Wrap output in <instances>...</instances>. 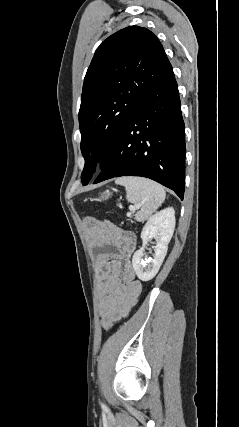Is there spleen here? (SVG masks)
Listing matches in <instances>:
<instances>
[{"instance_id":"1","label":"spleen","mask_w":239,"mask_h":427,"mask_svg":"<svg viewBox=\"0 0 239 427\" xmlns=\"http://www.w3.org/2000/svg\"><path fill=\"white\" fill-rule=\"evenodd\" d=\"M115 183L125 187L128 202L140 207L135 215L139 222L149 219L165 200L164 188L152 180L128 176L116 179Z\"/></svg>"}]
</instances>
